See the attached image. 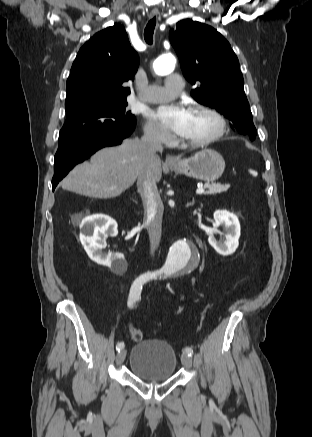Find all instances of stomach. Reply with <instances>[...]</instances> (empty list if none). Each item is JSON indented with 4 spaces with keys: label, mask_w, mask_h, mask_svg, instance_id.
Listing matches in <instances>:
<instances>
[{
    "label": "stomach",
    "mask_w": 312,
    "mask_h": 437,
    "mask_svg": "<svg viewBox=\"0 0 312 437\" xmlns=\"http://www.w3.org/2000/svg\"><path fill=\"white\" fill-rule=\"evenodd\" d=\"M169 168L177 174H182L206 182H214L224 172L225 161L215 150L203 149L193 156L180 159Z\"/></svg>",
    "instance_id": "0dacf381"
}]
</instances>
